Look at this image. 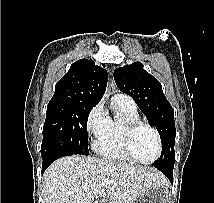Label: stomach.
Here are the masks:
<instances>
[{
    "label": "stomach",
    "instance_id": "0dacf381",
    "mask_svg": "<svg viewBox=\"0 0 214 203\" xmlns=\"http://www.w3.org/2000/svg\"><path fill=\"white\" fill-rule=\"evenodd\" d=\"M135 203H171L166 184L155 185L147 189Z\"/></svg>",
    "mask_w": 214,
    "mask_h": 203
}]
</instances>
